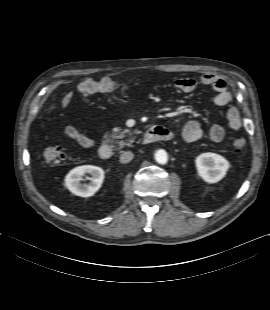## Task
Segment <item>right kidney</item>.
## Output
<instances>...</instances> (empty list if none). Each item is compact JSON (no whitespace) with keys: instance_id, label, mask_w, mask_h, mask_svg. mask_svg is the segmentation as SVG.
<instances>
[{"instance_id":"ca27d5eb","label":"right kidney","mask_w":270,"mask_h":310,"mask_svg":"<svg viewBox=\"0 0 270 310\" xmlns=\"http://www.w3.org/2000/svg\"><path fill=\"white\" fill-rule=\"evenodd\" d=\"M85 174H90L91 182L82 184L81 180ZM104 180V171L102 168L92 165H83L72 169L65 176V186L74 195L80 197L93 196L101 187Z\"/></svg>"}]
</instances>
